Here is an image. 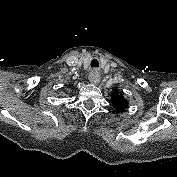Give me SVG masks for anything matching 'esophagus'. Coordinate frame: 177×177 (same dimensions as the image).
<instances>
[{
    "label": "esophagus",
    "instance_id": "obj_1",
    "mask_svg": "<svg viewBox=\"0 0 177 177\" xmlns=\"http://www.w3.org/2000/svg\"><path fill=\"white\" fill-rule=\"evenodd\" d=\"M88 78L91 83L97 84L99 83L101 77L97 69H91Z\"/></svg>",
    "mask_w": 177,
    "mask_h": 177
}]
</instances>
